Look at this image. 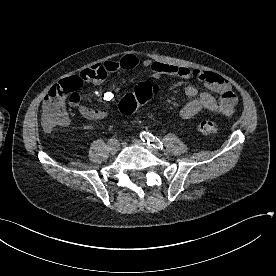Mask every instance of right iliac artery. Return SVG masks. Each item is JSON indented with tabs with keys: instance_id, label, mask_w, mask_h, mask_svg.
<instances>
[{
	"instance_id": "right-iliac-artery-1",
	"label": "right iliac artery",
	"mask_w": 276,
	"mask_h": 276,
	"mask_svg": "<svg viewBox=\"0 0 276 276\" xmlns=\"http://www.w3.org/2000/svg\"><path fill=\"white\" fill-rule=\"evenodd\" d=\"M117 144H119V141L115 138L108 140V145H117Z\"/></svg>"
}]
</instances>
